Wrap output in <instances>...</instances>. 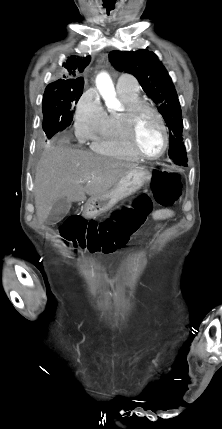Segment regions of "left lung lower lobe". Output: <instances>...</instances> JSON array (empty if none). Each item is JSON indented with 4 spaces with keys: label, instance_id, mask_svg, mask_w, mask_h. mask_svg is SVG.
I'll list each match as a JSON object with an SVG mask.
<instances>
[{
    "label": "left lung lower lobe",
    "instance_id": "1",
    "mask_svg": "<svg viewBox=\"0 0 222 429\" xmlns=\"http://www.w3.org/2000/svg\"><path fill=\"white\" fill-rule=\"evenodd\" d=\"M171 162L174 163V164H176V165H178V166H181V167L187 166V163H181V162L172 161V160H171Z\"/></svg>",
    "mask_w": 222,
    "mask_h": 429
}]
</instances>
